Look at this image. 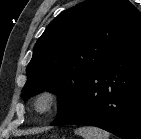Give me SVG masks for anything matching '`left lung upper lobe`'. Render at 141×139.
I'll return each mask as SVG.
<instances>
[{"label": "left lung upper lobe", "instance_id": "obj_1", "mask_svg": "<svg viewBox=\"0 0 141 139\" xmlns=\"http://www.w3.org/2000/svg\"><path fill=\"white\" fill-rule=\"evenodd\" d=\"M141 30V13L128 0H86L59 14L34 46L22 97L58 95L62 114L88 75Z\"/></svg>", "mask_w": 141, "mask_h": 139}]
</instances>
